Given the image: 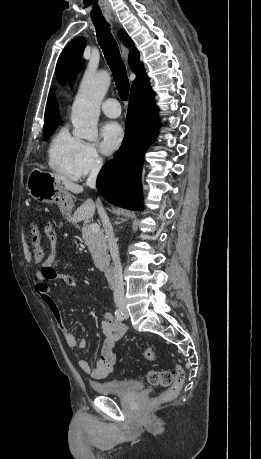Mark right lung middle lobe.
<instances>
[{
  "label": "right lung middle lobe",
  "mask_w": 261,
  "mask_h": 459,
  "mask_svg": "<svg viewBox=\"0 0 261 459\" xmlns=\"http://www.w3.org/2000/svg\"><path fill=\"white\" fill-rule=\"evenodd\" d=\"M59 123H55V124H45L44 125V140L48 139V137L50 136V134L56 129L57 125Z\"/></svg>",
  "instance_id": "obj_1"
}]
</instances>
